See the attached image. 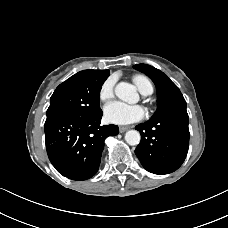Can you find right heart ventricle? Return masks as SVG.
<instances>
[{"mask_svg": "<svg viewBox=\"0 0 228 228\" xmlns=\"http://www.w3.org/2000/svg\"><path fill=\"white\" fill-rule=\"evenodd\" d=\"M133 82L142 94L149 95L153 92V86L145 76L135 75L133 77Z\"/></svg>", "mask_w": 228, "mask_h": 228, "instance_id": "1", "label": "right heart ventricle"}]
</instances>
